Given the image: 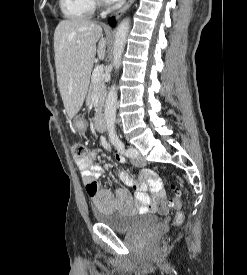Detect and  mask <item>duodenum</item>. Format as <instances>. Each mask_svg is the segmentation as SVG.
<instances>
[{"label": "duodenum", "instance_id": "duodenum-1", "mask_svg": "<svg viewBox=\"0 0 247 275\" xmlns=\"http://www.w3.org/2000/svg\"><path fill=\"white\" fill-rule=\"evenodd\" d=\"M95 127L98 131L103 132L106 130V117L104 112H99L95 118Z\"/></svg>", "mask_w": 247, "mask_h": 275}]
</instances>
